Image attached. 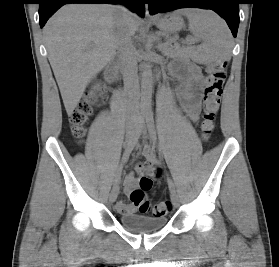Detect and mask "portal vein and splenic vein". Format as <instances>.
I'll use <instances>...</instances> for the list:
<instances>
[{
    "label": "portal vein and splenic vein",
    "mask_w": 279,
    "mask_h": 267,
    "mask_svg": "<svg viewBox=\"0 0 279 267\" xmlns=\"http://www.w3.org/2000/svg\"><path fill=\"white\" fill-rule=\"evenodd\" d=\"M190 41H194V40L192 39V40H190ZM165 46H168V45H165Z\"/></svg>",
    "instance_id": "18ae733b"
}]
</instances>
